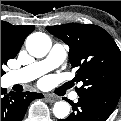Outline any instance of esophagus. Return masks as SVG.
<instances>
[{
  "instance_id": "1",
  "label": "esophagus",
  "mask_w": 121,
  "mask_h": 121,
  "mask_svg": "<svg viewBox=\"0 0 121 121\" xmlns=\"http://www.w3.org/2000/svg\"><path fill=\"white\" fill-rule=\"evenodd\" d=\"M45 99L48 100L49 102H55L57 100V98L52 94H46Z\"/></svg>"
}]
</instances>
